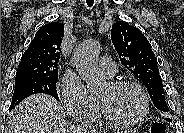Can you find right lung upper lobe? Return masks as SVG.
<instances>
[{"label": "right lung upper lobe", "instance_id": "1", "mask_svg": "<svg viewBox=\"0 0 184 133\" xmlns=\"http://www.w3.org/2000/svg\"><path fill=\"white\" fill-rule=\"evenodd\" d=\"M64 35L63 23L51 22L40 27L21 57L17 78L57 77L60 45Z\"/></svg>", "mask_w": 184, "mask_h": 133}]
</instances>
